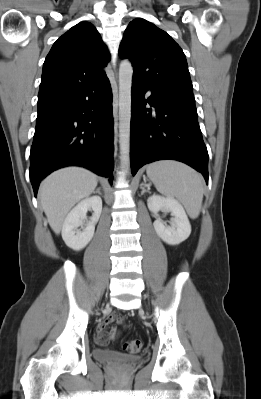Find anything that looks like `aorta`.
<instances>
[{
    "label": "aorta",
    "instance_id": "762f6f07",
    "mask_svg": "<svg viewBox=\"0 0 261 399\" xmlns=\"http://www.w3.org/2000/svg\"><path fill=\"white\" fill-rule=\"evenodd\" d=\"M133 67L127 59L119 67V144L120 159L124 172L130 166V121H131V87Z\"/></svg>",
    "mask_w": 261,
    "mask_h": 399
}]
</instances>
